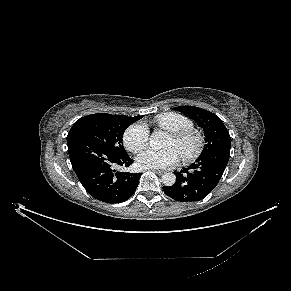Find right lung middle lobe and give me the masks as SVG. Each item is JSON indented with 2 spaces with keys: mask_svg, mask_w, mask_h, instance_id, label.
Returning <instances> with one entry per match:
<instances>
[{
  "mask_svg": "<svg viewBox=\"0 0 291 291\" xmlns=\"http://www.w3.org/2000/svg\"><path fill=\"white\" fill-rule=\"evenodd\" d=\"M143 116L128 117L99 113L77 120L67 136V144L78 140H89L117 154H127L122 143L125 129Z\"/></svg>",
  "mask_w": 291,
  "mask_h": 291,
  "instance_id": "dd1d6c3e",
  "label": "right lung middle lobe"
}]
</instances>
